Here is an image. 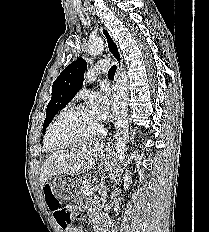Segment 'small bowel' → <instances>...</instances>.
<instances>
[{
    "instance_id": "1",
    "label": "small bowel",
    "mask_w": 209,
    "mask_h": 232,
    "mask_svg": "<svg viewBox=\"0 0 209 232\" xmlns=\"http://www.w3.org/2000/svg\"><path fill=\"white\" fill-rule=\"evenodd\" d=\"M89 214L96 223H99L101 221V214L99 213L98 209L95 206L92 205L89 207ZM64 232H82V231L80 228L77 227H66L64 228Z\"/></svg>"
}]
</instances>
